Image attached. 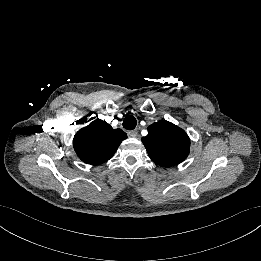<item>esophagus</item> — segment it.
Returning <instances> with one entry per match:
<instances>
[{"mask_svg": "<svg viewBox=\"0 0 261 261\" xmlns=\"http://www.w3.org/2000/svg\"><path fill=\"white\" fill-rule=\"evenodd\" d=\"M128 135L130 137L136 138V137H138V132L136 130H131L128 132Z\"/></svg>", "mask_w": 261, "mask_h": 261, "instance_id": "obj_1", "label": "esophagus"}]
</instances>
